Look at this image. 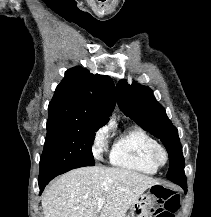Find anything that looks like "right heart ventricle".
I'll return each instance as SVG.
<instances>
[{
	"label": "right heart ventricle",
	"mask_w": 211,
	"mask_h": 217,
	"mask_svg": "<svg viewBox=\"0 0 211 217\" xmlns=\"http://www.w3.org/2000/svg\"><path fill=\"white\" fill-rule=\"evenodd\" d=\"M158 145L145 130L132 127L119 135L110 152V162L121 168L155 174L158 168L150 160V151Z\"/></svg>",
	"instance_id": "1"
}]
</instances>
